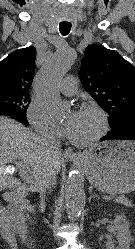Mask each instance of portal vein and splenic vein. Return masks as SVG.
<instances>
[{"instance_id": "18ae733b", "label": "portal vein and splenic vein", "mask_w": 135, "mask_h": 249, "mask_svg": "<svg viewBox=\"0 0 135 249\" xmlns=\"http://www.w3.org/2000/svg\"><path fill=\"white\" fill-rule=\"evenodd\" d=\"M17 166L19 167L20 172H21L23 178L29 180L30 170H28L27 164L24 163V162H18ZM6 172L13 173L14 172V167L8 166L6 168ZM104 199L108 200V199H110V197L109 196H104Z\"/></svg>"}]
</instances>
